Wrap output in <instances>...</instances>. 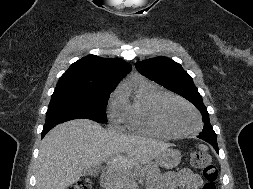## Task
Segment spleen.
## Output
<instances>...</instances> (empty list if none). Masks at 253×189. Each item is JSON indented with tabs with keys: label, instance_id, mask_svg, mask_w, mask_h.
Instances as JSON below:
<instances>
[{
	"label": "spleen",
	"instance_id": "3e777b00",
	"mask_svg": "<svg viewBox=\"0 0 253 189\" xmlns=\"http://www.w3.org/2000/svg\"><path fill=\"white\" fill-rule=\"evenodd\" d=\"M199 149L203 150V151H206V150H208V147L205 146V145H199Z\"/></svg>",
	"mask_w": 253,
	"mask_h": 189
}]
</instances>
